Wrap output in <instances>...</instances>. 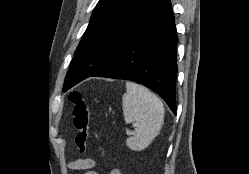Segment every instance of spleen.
<instances>
[{"mask_svg": "<svg viewBox=\"0 0 249 174\" xmlns=\"http://www.w3.org/2000/svg\"><path fill=\"white\" fill-rule=\"evenodd\" d=\"M126 89L122 97L124 119L136 126L135 135L126 140V145L134 151H141L160 133L164 107L155 94L141 85L126 82Z\"/></svg>", "mask_w": 249, "mask_h": 174, "instance_id": "1", "label": "spleen"}]
</instances>
